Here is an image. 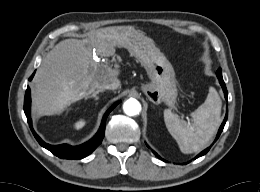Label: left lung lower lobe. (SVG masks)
<instances>
[{
	"label": "left lung lower lobe",
	"mask_w": 260,
	"mask_h": 192,
	"mask_svg": "<svg viewBox=\"0 0 260 192\" xmlns=\"http://www.w3.org/2000/svg\"><path fill=\"white\" fill-rule=\"evenodd\" d=\"M218 79H219V82H220V84H221V86H222V88H223L225 98L227 99L228 92H227V89H226V85H225V83H224V81H223V78H222V77H218ZM227 117H228V109H227V112H226V116H225V118H224V121H223V123L221 124V126H220V128H219V131H218V134H217V136H216L215 141L219 138V136H220V134H221V132H222V130H223V128H224V125H225V123H226ZM210 147H211V146H210ZM210 147H208L207 149H205L204 151H202L200 154H198V155L195 157V159H196V158H199V157H201V156H203V155H205V154L210 150ZM153 153H154L158 158L161 159V157L158 156V154H157L156 152L153 151Z\"/></svg>",
	"instance_id": "left-lung-lower-lobe-1"
}]
</instances>
